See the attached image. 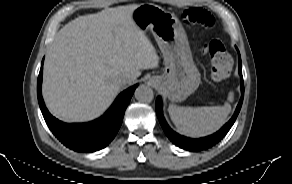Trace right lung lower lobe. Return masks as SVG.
Segmentation results:
<instances>
[{
    "label": "right lung lower lobe",
    "mask_w": 292,
    "mask_h": 184,
    "mask_svg": "<svg viewBox=\"0 0 292 184\" xmlns=\"http://www.w3.org/2000/svg\"><path fill=\"white\" fill-rule=\"evenodd\" d=\"M42 69L37 80L38 102L43 117L52 133L68 148L79 152H94L106 147L118 132L125 109L137 85L122 92L106 114L89 123L66 124L54 118L47 110L42 95Z\"/></svg>",
    "instance_id": "98d812e1"
}]
</instances>
